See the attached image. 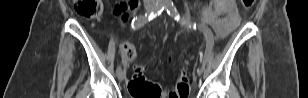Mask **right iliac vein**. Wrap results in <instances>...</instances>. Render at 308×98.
Listing matches in <instances>:
<instances>
[{
  "label": "right iliac vein",
  "instance_id": "obj_1",
  "mask_svg": "<svg viewBox=\"0 0 308 98\" xmlns=\"http://www.w3.org/2000/svg\"><path fill=\"white\" fill-rule=\"evenodd\" d=\"M152 9H153L152 6H147V7L145 8L146 12H148V13H149ZM117 77H118V80H119L120 82L123 81L124 78H125V71H123V70L121 69V71H119V73L117 74Z\"/></svg>",
  "mask_w": 308,
  "mask_h": 98
}]
</instances>
